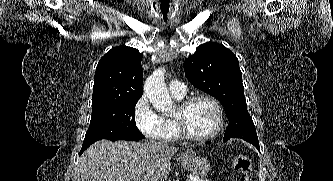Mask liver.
<instances>
[{"mask_svg": "<svg viewBox=\"0 0 333 181\" xmlns=\"http://www.w3.org/2000/svg\"><path fill=\"white\" fill-rule=\"evenodd\" d=\"M178 148L101 140L80 157L81 181H164Z\"/></svg>", "mask_w": 333, "mask_h": 181, "instance_id": "obj_1", "label": "liver"}]
</instances>
